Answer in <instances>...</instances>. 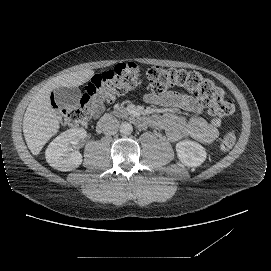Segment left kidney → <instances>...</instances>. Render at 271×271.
<instances>
[{
  "instance_id": "1",
  "label": "left kidney",
  "mask_w": 271,
  "mask_h": 271,
  "mask_svg": "<svg viewBox=\"0 0 271 271\" xmlns=\"http://www.w3.org/2000/svg\"><path fill=\"white\" fill-rule=\"evenodd\" d=\"M176 152L179 160L185 166H200L206 159L207 153L199 143L183 140L176 144Z\"/></svg>"
}]
</instances>
